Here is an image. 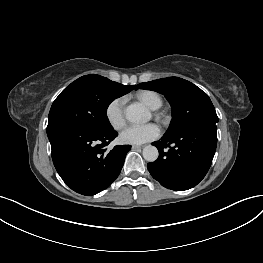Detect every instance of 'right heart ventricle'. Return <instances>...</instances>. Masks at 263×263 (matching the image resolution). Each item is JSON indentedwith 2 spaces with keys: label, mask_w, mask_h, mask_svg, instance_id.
Listing matches in <instances>:
<instances>
[{
  "label": "right heart ventricle",
  "mask_w": 263,
  "mask_h": 263,
  "mask_svg": "<svg viewBox=\"0 0 263 263\" xmlns=\"http://www.w3.org/2000/svg\"><path fill=\"white\" fill-rule=\"evenodd\" d=\"M136 97L152 110L159 109L163 104L161 96L152 90H141L136 93Z\"/></svg>",
  "instance_id": "obj_1"
}]
</instances>
